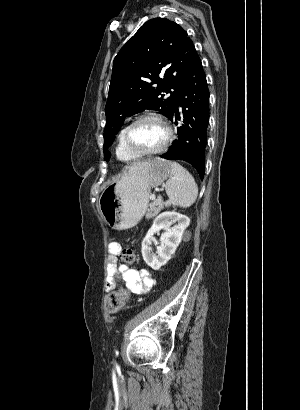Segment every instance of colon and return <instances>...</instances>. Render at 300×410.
<instances>
[{
    "instance_id": "5ec220e1",
    "label": "colon",
    "mask_w": 300,
    "mask_h": 410,
    "mask_svg": "<svg viewBox=\"0 0 300 410\" xmlns=\"http://www.w3.org/2000/svg\"><path fill=\"white\" fill-rule=\"evenodd\" d=\"M119 259L123 263H132L136 259V254L133 248L123 247L119 254ZM129 298V291L125 289H118L108 293L105 298V309L109 313L118 312Z\"/></svg>"
}]
</instances>
